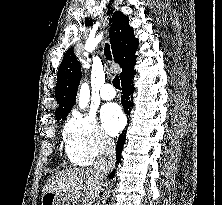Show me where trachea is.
Wrapping results in <instances>:
<instances>
[{"mask_svg":"<svg viewBox=\"0 0 222 205\" xmlns=\"http://www.w3.org/2000/svg\"><path fill=\"white\" fill-rule=\"evenodd\" d=\"M104 53H105V56H106L107 60H111L112 59L109 44H105ZM112 83H113V86L116 89H120V79H119L118 75L115 76V78L113 79Z\"/></svg>","mask_w":222,"mask_h":205,"instance_id":"3493384b","label":"trachea"}]
</instances>
